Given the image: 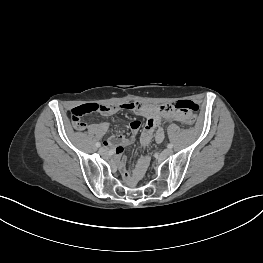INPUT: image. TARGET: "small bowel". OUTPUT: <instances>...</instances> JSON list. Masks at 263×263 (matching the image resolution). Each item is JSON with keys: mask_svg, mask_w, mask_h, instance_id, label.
Listing matches in <instances>:
<instances>
[{"mask_svg": "<svg viewBox=\"0 0 263 263\" xmlns=\"http://www.w3.org/2000/svg\"><path fill=\"white\" fill-rule=\"evenodd\" d=\"M105 110L101 112L103 115H112L122 110H129L134 112L135 114L144 117L146 122L144 124L141 141L143 145H148L152 138L155 139L156 142L160 143L164 139V131L160 127V124L163 119L166 118H174L181 124H188V115L182 112H176L171 105H154L143 102H128L120 105L114 106H104ZM142 123L139 120H133L130 123L131 135L130 137L125 136H111L105 143V147L112 151L115 156L119 159L120 163H124V147L132 142L141 128ZM85 128V124L83 129ZM109 124L107 122H102L98 124V130L101 134H104L108 131ZM148 158L143 157L136 168L135 175L136 177H141L144 175L147 167H148Z\"/></svg>", "mask_w": 263, "mask_h": 263, "instance_id": "c3829d8e", "label": "small bowel"}]
</instances>
